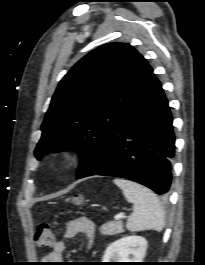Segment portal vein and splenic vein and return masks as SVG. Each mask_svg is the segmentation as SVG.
<instances>
[{"label": "portal vein and splenic vein", "instance_id": "obj_1", "mask_svg": "<svg viewBox=\"0 0 205 265\" xmlns=\"http://www.w3.org/2000/svg\"><path fill=\"white\" fill-rule=\"evenodd\" d=\"M124 217H125L124 214H118L117 216H115V219H116V220H120V219H122V218H124Z\"/></svg>", "mask_w": 205, "mask_h": 265}]
</instances>
